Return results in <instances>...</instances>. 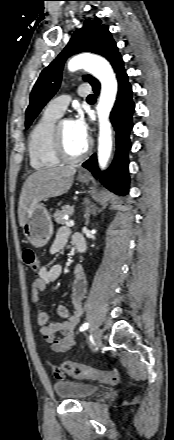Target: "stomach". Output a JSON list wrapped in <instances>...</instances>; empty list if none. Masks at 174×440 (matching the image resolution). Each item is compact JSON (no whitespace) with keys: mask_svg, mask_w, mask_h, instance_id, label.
Listing matches in <instances>:
<instances>
[{"mask_svg":"<svg viewBox=\"0 0 174 440\" xmlns=\"http://www.w3.org/2000/svg\"><path fill=\"white\" fill-rule=\"evenodd\" d=\"M78 180L88 183V176H79ZM25 237L34 247L40 248L47 244L53 233V223L47 209L42 204H38L32 214L27 217L23 225Z\"/></svg>","mask_w":174,"mask_h":440,"instance_id":"0dacf381","label":"stomach"}]
</instances>
